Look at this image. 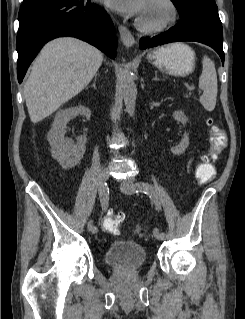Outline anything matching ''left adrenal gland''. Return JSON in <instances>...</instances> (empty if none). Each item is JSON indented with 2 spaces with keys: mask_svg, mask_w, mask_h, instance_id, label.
Wrapping results in <instances>:
<instances>
[{
  "mask_svg": "<svg viewBox=\"0 0 245 319\" xmlns=\"http://www.w3.org/2000/svg\"><path fill=\"white\" fill-rule=\"evenodd\" d=\"M153 80L154 81H160L161 79H159L158 77H157V71H155V77L153 78Z\"/></svg>",
  "mask_w": 245,
  "mask_h": 319,
  "instance_id": "a2214340",
  "label": "left adrenal gland"
}]
</instances>
